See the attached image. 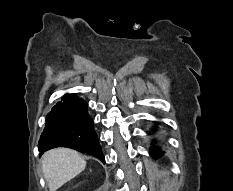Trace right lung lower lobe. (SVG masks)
Instances as JSON below:
<instances>
[{"label":"right lung lower lobe","instance_id":"right-lung-lower-lobe-1","mask_svg":"<svg viewBox=\"0 0 233 191\" xmlns=\"http://www.w3.org/2000/svg\"><path fill=\"white\" fill-rule=\"evenodd\" d=\"M87 106L75 94L62 97L46 117L38 144L39 151L43 153L55 147H68L93 155L105 163Z\"/></svg>","mask_w":233,"mask_h":191}]
</instances>
